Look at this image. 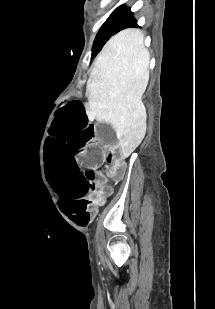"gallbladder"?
Wrapping results in <instances>:
<instances>
[{
    "label": "gallbladder",
    "instance_id": "1",
    "mask_svg": "<svg viewBox=\"0 0 215 309\" xmlns=\"http://www.w3.org/2000/svg\"><path fill=\"white\" fill-rule=\"evenodd\" d=\"M95 132L97 136H102L104 144H114L116 140V130L112 129L111 125L101 123V125H95Z\"/></svg>",
    "mask_w": 215,
    "mask_h": 309
}]
</instances>
